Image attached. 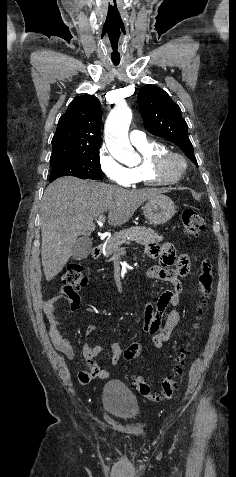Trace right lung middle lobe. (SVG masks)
<instances>
[{
	"label": "right lung middle lobe",
	"mask_w": 236,
	"mask_h": 477,
	"mask_svg": "<svg viewBox=\"0 0 236 477\" xmlns=\"http://www.w3.org/2000/svg\"><path fill=\"white\" fill-rule=\"evenodd\" d=\"M50 182L62 176L102 180L98 148L50 161Z\"/></svg>",
	"instance_id": "right-lung-middle-lobe-1"
}]
</instances>
